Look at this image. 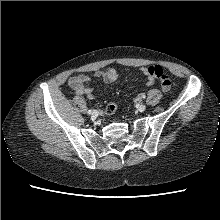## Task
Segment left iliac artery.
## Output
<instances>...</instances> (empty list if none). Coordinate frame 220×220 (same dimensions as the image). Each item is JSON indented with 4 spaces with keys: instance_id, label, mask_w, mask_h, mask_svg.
<instances>
[{
    "instance_id": "44dca946",
    "label": "left iliac artery",
    "mask_w": 220,
    "mask_h": 220,
    "mask_svg": "<svg viewBox=\"0 0 220 220\" xmlns=\"http://www.w3.org/2000/svg\"><path fill=\"white\" fill-rule=\"evenodd\" d=\"M140 97H141V98H145V97H146L145 93H141V94H140Z\"/></svg>"
}]
</instances>
